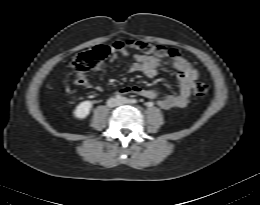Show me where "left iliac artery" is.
<instances>
[{"mask_svg":"<svg viewBox=\"0 0 260 205\" xmlns=\"http://www.w3.org/2000/svg\"><path fill=\"white\" fill-rule=\"evenodd\" d=\"M130 101H131V103H133V104L137 103V100H136V99H131Z\"/></svg>","mask_w":260,"mask_h":205,"instance_id":"left-iliac-artery-1","label":"left iliac artery"}]
</instances>
